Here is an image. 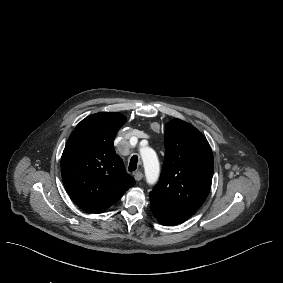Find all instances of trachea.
<instances>
[{"instance_id": "trachea-1", "label": "trachea", "mask_w": 283, "mask_h": 283, "mask_svg": "<svg viewBox=\"0 0 283 283\" xmlns=\"http://www.w3.org/2000/svg\"><path fill=\"white\" fill-rule=\"evenodd\" d=\"M137 163H138V156L134 155L131 157L130 162H129V171H134L137 168Z\"/></svg>"}]
</instances>
